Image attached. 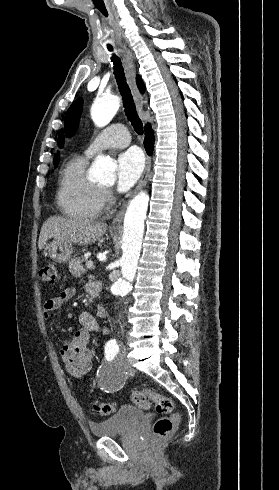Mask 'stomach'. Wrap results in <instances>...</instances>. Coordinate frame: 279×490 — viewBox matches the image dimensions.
I'll return each mask as SVG.
<instances>
[{
  "instance_id": "0dacf381",
  "label": "stomach",
  "mask_w": 279,
  "mask_h": 490,
  "mask_svg": "<svg viewBox=\"0 0 279 490\" xmlns=\"http://www.w3.org/2000/svg\"><path fill=\"white\" fill-rule=\"evenodd\" d=\"M46 252L53 262H58V264H66V262H70L73 254V248L71 244L68 242H57V240H53L50 242L48 246H46Z\"/></svg>"
}]
</instances>
